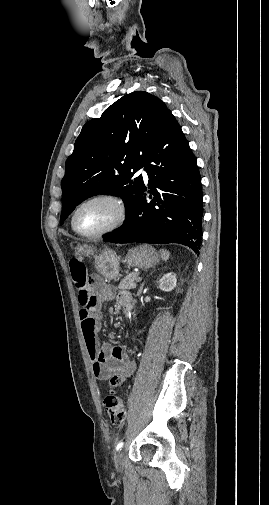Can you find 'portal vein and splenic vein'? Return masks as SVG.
I'll list each match as a JSON object with an SVG mask.
<instances>
[{"instance_id":"1","label":"portal vein and splenic vein","mask_w":269,"mask_h":505,"mask_svg":"<svg viewBox=\"0 0 269 505\" xmlns=\"http://www.w3.org/2000/svg\"><path fill=\"white\" fill-rule=\"evenodd\" d=\"M141 279H142V277H139V278H138V280H141Z\"/></svg>"}]
</instances>
